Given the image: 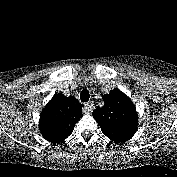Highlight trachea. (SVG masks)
I'll use <instances>...</instances> for the list:
<instances>
[{"label":"trachea","mask_w":177,"mask_h":177,"mask_svg":"<svg viewBox=\"0 0 177 177\" xmlns=\"http://www.w3.org/2000/svg\"><path fill=\"white\" fill-rule=\"evenodd\" d=\"M90 98V95H89V92L87 89H84L81 91V94H80V99L82 102H87Z\"/></svg>","instance_id":"trachea-1"}]
</instances>
